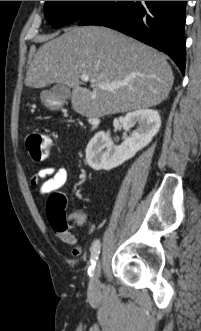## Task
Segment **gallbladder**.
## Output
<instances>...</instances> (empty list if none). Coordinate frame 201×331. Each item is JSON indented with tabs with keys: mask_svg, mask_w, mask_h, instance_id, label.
Masks as SVG:
<instances>
[{
	"mask_svg": "<svg viewBox=\"0 0 201 331\" xmlns=\"http://www.w3.org/2000/svg\"><path fill=\"white\" fill-rule=\"evenodd\" d=\"M51 94L56 99L66 100L70 96V90H69V88L66 85L55 84L51 88Z\"/></svg>",
	"mask_w": 201,
	"mask_h": 331,
	"instance_id": "gallbladder-1",
	"label": "gallbladder"
}]
</instances>
